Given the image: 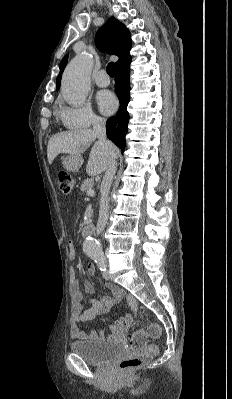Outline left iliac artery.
Segmentation results:
<instances>
[{"label":"left iliac artery","mask_w":232,"mask_h":399,"mask_svg":"<svg viewBox=\"0 0 232 399\" xmlns=\"http://www.w3.org/2000/svg\"><path fill=\"white\" fill-rule=\"evenodd\" d=\"M91 257L93 260L97 263L98 268L101 271H106L107 269V262H106V256L104 253H92Z\"/></svg>","instance_id":"1"}]
</instances>
